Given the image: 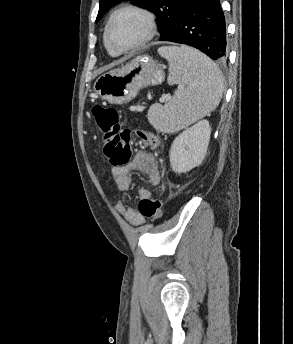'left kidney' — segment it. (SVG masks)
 I'll list each match as a JSON object with an SVG mask.
<instances>
[{
  "mask_svg": "<svg viewBox=\"0 0 293 344\" xmlns=\"http://www.w3.org/2000/svg\"><path fill=\"white\" fill-rule=\"evenodd\" d=\"M211 128L201 120L179 134L170 149V165L175 173H186L199 166L205 158Z\"/></svg>",
  "mask_w": 293,
  "mask_h": 344,
  "instance_id": "5707ae66",
  "label": "left kidney"
}]
</instances>
